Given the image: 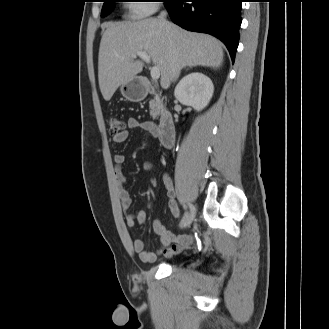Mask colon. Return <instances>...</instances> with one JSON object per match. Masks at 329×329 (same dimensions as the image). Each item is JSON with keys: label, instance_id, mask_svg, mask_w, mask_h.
Returning <instances> with one entry per match:
<instances>
[{"label": "colon", "instance_id": "colon-1", "mask_svg": "<svg viewBox=\"0 0 329 329\" xmlns=\"http://www.w3.org/2000/svg\"><path fill=\"white\" fill-rule=\"evenodd\" d=\"M108 125H109V131L113 136L118 135L123 131H125L124 122L118 117L115 116L110 117L108 120Z\"/></svg>", "mask_w": 329, "mask_h": 329}]
</instances>
